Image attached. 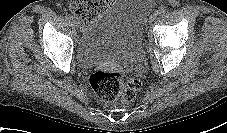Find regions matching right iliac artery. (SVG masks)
Returning a JSON list of instances; mask_svg holds the SVG:
<instances>
[{
  "label": "right iliac artery",
  "instance_id": "obj_1",
  "mask_svg": "<svg viewBox=\"0 0 227 133\" xmlns=\"http://www.w3.org/2000/svg\"><path fill=\"white\" fill-rule=\"evenodd\" d=\"M65 18H66L67 20H72V19H73V17H72L70 14H66Z\"/></svg>",
  "mask_w": 227,
  "mask_h": 133
}]
</instances>
